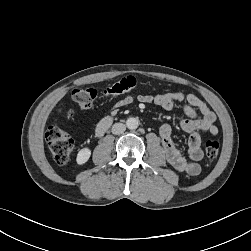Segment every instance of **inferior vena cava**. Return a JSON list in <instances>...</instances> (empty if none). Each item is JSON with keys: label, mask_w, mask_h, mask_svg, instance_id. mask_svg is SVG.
I'll list each match as a JSON object with an SVG mask.
<instances>
[{"label": "inferior vena cava", "mask_w": 251, "mask_h": 251, "mask_svg": "<svg viewBox=\"0 0 251 251\" xmlns=\"http://www.w3.org/2000/svg\"><path fill=\"white\" fill-rule=\"evenodd\" d=\"M125 130H126V126L123 123H115L111 129L112 133L115 135H120L124 133Z\"/></svg>", "instance_id": "602c4592"}]
</instances>
